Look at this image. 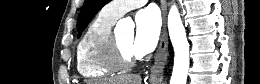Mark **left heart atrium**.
Segmentation results:
<instances>
[{
  "instance_id": "1",
  "label": "left heart atrium",
  "mask_w": 260,
  "mask_h": 84,
  "mask_svg": "<svg viewBox=\"0 0 260 84\" xmlns=\"http://www.w3.org/2000/svg\"><path fill=\"white\" fill-rule=\"evenodd\" d=\"M135 23L136 34L132 47L134 54L140 57L156 47L161 32V19L158 11L149 7L137 13Z\"/></svg>"
}]
</instances>
